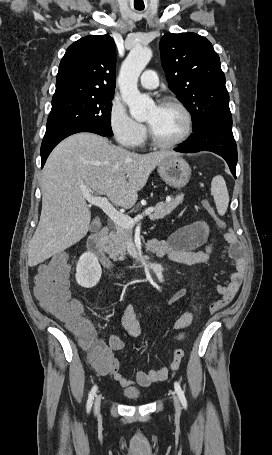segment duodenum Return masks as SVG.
Returning a JSON list of instances; mask_svg holds the SVG:
<instances>
[{
  "mask_svg": "<svg viewBox=\"0 0 272 455\" xmlns=\"http://www.w3.org/2000/svg\"><path fill=\"white\" fill-rule=\"evenodd\" d=\"M109 229L108 227L104 226L100 228L98 231L91 234L87 241L86 247L87 250L95 255L98 260L114 275L121 276L122 274L118 272V269L114 263L113 257L109 254L107 250V236H108ZM146 248L150 251L153 249L152 241H148L146 244Z\"/></svg>",
  "mask_w": 272,
  "mask_h": 455,
  "instance_id": "obj_1",
  "label": "duodenum"
}]
</instances>
